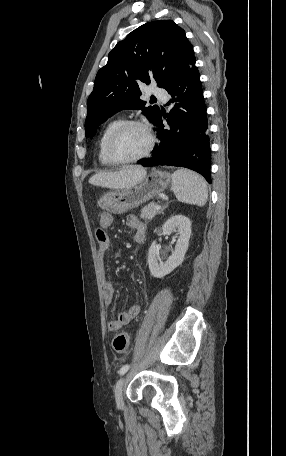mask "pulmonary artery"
<instances>
[{
    "mask_svg": "<svg viewBox=\"0 0 286 456\" xmlns=\"http://www.w3.org/2000/svg\"><path fill=\"white\" fill-rule=\"evenodd\" d=\"M153 94L158 98H162V99L167 98V92L164 89H154Z\"/></svg>",
    "mask_w": 286,
    "mask_h": 456,
    "instance_id": "1",
    "label": "pulmonary artery"
}]
</instances>
